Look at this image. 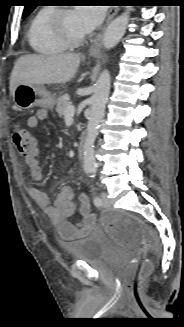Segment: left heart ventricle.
I'll return each instance as SVG.
<instances>
[{"label": "left heart ventricle", "mask_w": 184, "mask_h": 327, "mask_svg": "<svg viewBox=\"0 0 184 327\" xmlns=\"http://www.w3.org/2000/svg\"><path fill=\"white\" fill-rule=\"evenodd\" d=\"M64 27L67 33L72 37H81L83 35H86V32L82 29L73 10L65 15Z\"/></svg>", "instance_id": "b2bd125f"}]
</instances>
